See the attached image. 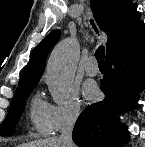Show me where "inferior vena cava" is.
<instances>
[{
    "label": "inferior vena cava",
    "instance_id": "inferior-vena-cava-1",
    "mask_svg": "<svg viewBox=\"0 0 145 147\" xmlns=\"http://www.w3.org/2000/svg\"><path fill=\"white\" fill-rule=\"evenodd\" d=\"M78 114L79 112L75 111L67 117L66 123L62 128L61 135L58 138L62 147H74V143L72 141V130L75 125Z\"/></svg>",
    "mask_w": 145,
    "mask_h": 147
}]
</instances>
